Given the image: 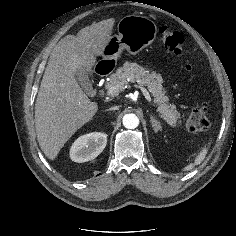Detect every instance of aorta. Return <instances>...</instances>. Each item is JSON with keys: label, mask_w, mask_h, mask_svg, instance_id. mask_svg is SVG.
Segmentation results:
<instances>
[{"label": "aorta", "mask_w": 236, "mask_h": 236, "mask_svg": "<svg viewBox=\"0 0 236 236\" xmlns=\"http://www.w3.org/2000/svg\"><path fill=\"white\" fill-rule=\"evenodd\" d=\"M123 125L127 129H135L139 125V119L135 114H126L123 117Z\"/></svg>", "instance_id": "1"}]
</instances>
